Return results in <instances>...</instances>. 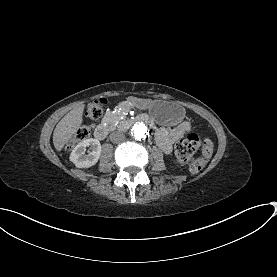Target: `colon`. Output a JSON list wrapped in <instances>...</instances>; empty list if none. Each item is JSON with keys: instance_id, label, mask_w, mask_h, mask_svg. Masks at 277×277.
Instances as JSON below:
<instances>
[{"instance_id": "5ec220e1", "label": "colon", "mask_w": 277, "mask_h": 277, "mask_svg": "<svg viewBox=\"0 0 277 277\" xmlns=\"http://www.w3.org/2000/svg\"><path fill=\"white\" fill-rule=\"evenodd\" d=\"M106 103L107 100L104 97L89 102L86 108L87 116L99 118ZM90 132L91 128L89 126L80 128L77 132L76 140L81 141L88 139L90 137ZM197 151H200L202 154L199 158L194 157ZM213 151V142L204 140L197 134L191 135L187 139L180 140L175 147V154L178 162L192 173L200 172L204 168Z\"/></svg>"}]
</instances>
